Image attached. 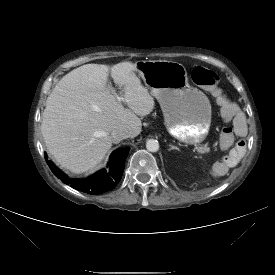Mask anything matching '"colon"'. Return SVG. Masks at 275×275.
<instances>
[{"label": "colon", "mask_w": 275, "mask_h": 275, "mask_svg": "<svg viewBox=\"0 0 275 275\" xmlns=\"http://www.w3.org/2000/svg\"><path fill=\"white\" fill-rule=\"evenodd\" d=\"M192 79L196 84L209 90L219 101L228 99V96L221 91L219 87L220 79L214 71L202 66H196L192 70ZM245 145V140L239 139L233 150L237 151L241 156L245 150Z\"/></svg>", "instance_id": "1"}]
</instances>
